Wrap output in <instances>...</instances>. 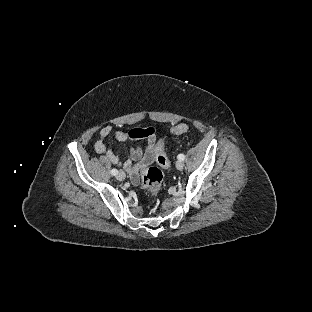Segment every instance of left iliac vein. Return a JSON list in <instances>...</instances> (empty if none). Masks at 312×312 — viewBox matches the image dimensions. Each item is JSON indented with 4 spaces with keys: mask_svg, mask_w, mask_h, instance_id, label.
Wrapping results in <instances>:
<instances>
[{
    "mask_svg": "<svg viewBox=\"0 0 312 312\" xmlns=\"http://www.w3.org/2000/svg\"><path fill=\"white\" fill-rule=\"evenodd\" d=\"M176 168H177L178 170H182V169L184 168V162H183L182 160H178V161L176 162Z\"/></svg>",
    "mask_w": 312,
    "mask_h": 312,
    "instance_id": "left-iliac-vein-1",
    "label": "left iliac vein"
}]
</instances>
